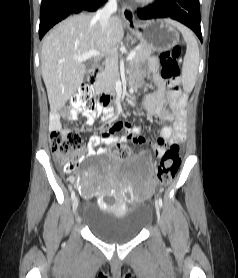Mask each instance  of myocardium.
<instances>
[{
    "mask_svg": "<svg viewBox=\"0 0 238 278\" xmlns=\"http://www.w3.org/2000/svg\"><path fill=\"white\" fill-rule=\"evenodd\" d=\"M137 2L143 4V5H149L155 2L156 0H136Z\"/></svg>",
    "mask_w": 238,
    "mask_h": 278,
    "instance_id": "1",
    "label": "myocardium"
}]
</instances>
